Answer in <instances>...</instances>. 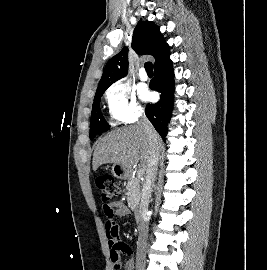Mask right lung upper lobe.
<instances>
[{
	"label": "right lung upper lobe",
	"instance_id": "1",
	"mask_svg": "<svg viewBox=\"0 0 267 270\" xmlns=\"http://www.w3.org/2000/svg\"><path fill=\"white\" fill-rule=\"evenodd\" d=\"M132 48L137 54L152 55L157 61L169 46L153 22L140 21L134 29ZM127 70L128 53L125 47L107 62L96 93L106 90L112 83L126 76Z\"/></svg>",
	"mask_w": 267,
	"mask_h": 270
}]
</instances>
